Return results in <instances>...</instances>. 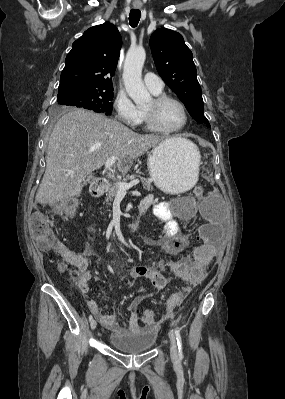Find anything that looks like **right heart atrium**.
<instances>
[{
  "instance_id": "obj_1",
  "label": "right heart atrium",
  "mask_w": 285,
  "mask_h": 399,
  "mask_svg": "<svg viewBox=\"0 0 285 399\" xmlns=\"http://www.w3.org/2000/svg\"><path fill=\"white\" fill-rule=\"evenodd\" d=\"M116 117L124 124L135 127L141 122V110L133 103L129 96L121 92L114 101Z\"/></svg>"
}]
</instances>
